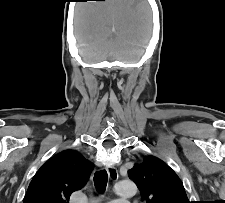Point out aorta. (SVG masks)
I'll return each instance as SVG.
<instances>
[{"label": "aorta", "instance_id": "1", "mask_svg": "<svg viewBox=\"0 0 225 203\" xmlns=\"http://www.w3.org/2000/svg\"><path fill=\"white\" fill-rule=\"evenodd\" d=\"M116 193L121 197H129L136 194L137 188L131 180H121L115 185Z\"/></svg>", "mask_w": 225, "mask_h": 203}]
</instances>
